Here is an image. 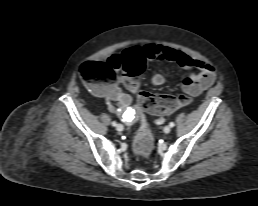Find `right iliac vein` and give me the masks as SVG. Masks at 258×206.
<instances>
[{
	"label": "right iliac vein",
	"mask_w": 258,
	"mask_h": 206,
	"mask_svg": "<svg viewBox=\"0 0 258 206\" xmlns=\"http://www.w3.org/2000/svg\"><path fill=\"white\" fill-rule=\"evenodd\" d=\"M123 129H124L123 125H121V124L116 125L117 131L121 132V131H123Z\"/></svg>",
	"instance_id": "63e3f726"
}]
</instances>
